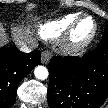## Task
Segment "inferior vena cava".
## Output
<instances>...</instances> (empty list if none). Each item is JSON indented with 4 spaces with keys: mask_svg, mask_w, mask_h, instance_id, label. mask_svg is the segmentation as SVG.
<instances>
[{
    "mask_svg": "<svg viewBox=\"0 0 108 108\" xmlns=\"http://www.w3.org/2000/svg\"><path fill=\"white\" fill-rule=\"evenodd\" d=\"M18 48L20 51L24 52V53H29L31 52L33 49H35L38 44L35 41H32L30 43H24V42H19L17 44Z\"/></svg>",
    "mask_w": 108,
    "mask_h": 108,
    "instance_id": "obj_1",
    "label": "inferior vena cava"
}]
</instances>
